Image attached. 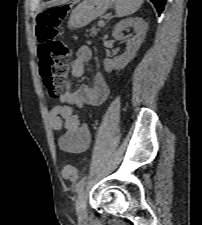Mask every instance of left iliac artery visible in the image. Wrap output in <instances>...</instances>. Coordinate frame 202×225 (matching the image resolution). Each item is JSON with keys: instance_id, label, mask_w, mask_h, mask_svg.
<instances>
[{"instance_id": "1", "label": "left iliac artery", "mask_w": 202, "mask_h": 225, "mask_svg": "<svg viewBox=\"0 0 202 225\" xmlns=\"http://www.w3.org/2000/svg\"><path fill=\"white\" fill-rule=\"evenodd\" d=\"M85 185V177H83L79 182L76 184V191L80 192Z\"/></svg>"}]
</instances>
